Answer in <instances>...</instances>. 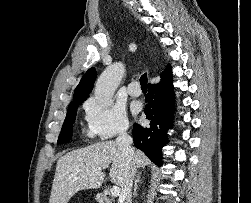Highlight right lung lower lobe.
<instances>
[{
	"instance_id": "98d812e1",
	"label": "right lung lower lobe",
	"mask_w": 251,
	"mask_h": 203,
	"mask_svg": "<svg viewBox=\"0 0 251 203\" xmlns=\"http://www.w3.org/2000/svg\"><path fill=\"white\" fill-rule=\"evenodd\" d=\"M160 77L159 83L149 84L145 98L147 104L144 113L146 119L150 120V125L144 128L135 123L132 131L135 146L157 165L162 164L161 149L168 142L167 131L172 126L175 113L172 74L169 66Z\"/></svg>"
}]
</instances>
